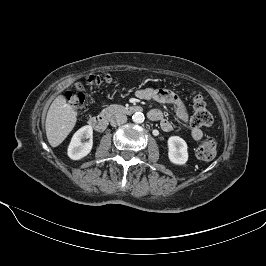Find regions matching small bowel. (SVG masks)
<instances>
[{
    "instance_id": "1",
    "label": "small bowel",
    "mask_w": 266,
    "mask_h": 266,
    "mask_svg": "<svg viewBox=\"0 0 266 266\" xmlns=\"http://www.w3.org/2000/svg\"><path fill=\"white\" fill-rule=\"evenodd\" d=\"M135 96L143 100H153L161 104L170 105L177 119L183 125H189L190 117L188 110L181 99L173 92L167 89L147 87L138 89L135 91ZM149 117L152 120L160 122L161 128L164 131H171L173 125L169 119L165 117V114L160 109H153L149 112ZM191 137L198 141L203 137V132L199 127L192 126L190 130Z\"/></svg>"
}]
</instances>
